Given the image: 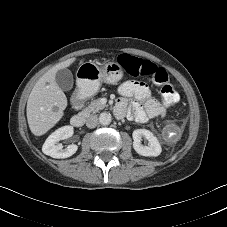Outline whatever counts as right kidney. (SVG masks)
Segmentation results:
<instances>
[{"label":"right kidney","instance_id":"obj_1","mask_svg":"<svg viewBox=\"0 0 227 227\" xmlns=\"http://www.w3.org/2000/svg\"><path fill=\"white\" fill-rule=\"evenodd\" d=\"M73 135L72 126H63L54 131L45 141L42 147L44 154L51 156L52 158H68L76 153L78 146L75 144L69 145L63 149L62 144H57L60 140L67 139ZM57 144V145H56Z\"/></svg>","mask_w":227,"mask_h":227}]
</instances>
